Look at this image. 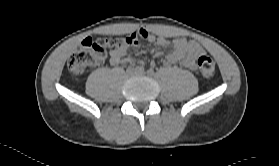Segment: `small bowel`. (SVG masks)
<instances>
[{
	"label": "small bowel",
	"instance_id": "1",
	"mask_svg": "<svg viewBox=\"0 0 279 166\" xmlns=\"http://www.w3.org/2000/svg\"><path fill=\"white\" fill-rule=\"evenodd\" d=\"M134 37V41L126 47L116 50L111 53L110 63L112 65L131 63V58L127 57L130 48L134 47L139 39H144L149 43H155L161 47L172 46V52L167 56L166 61L170 64L180 63L184 67L195 70L196 59L199 55L204 53V49L200 44L193 40L185 38H178L169 40L162 36H155L147 32L145 29H139L130 34ZM154 65V62H152Z\"/></svg>",
	"mask_w": 279,
	"mask_h": 166
}]
</instances>
